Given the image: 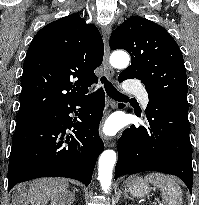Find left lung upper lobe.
Listing matches in <instances>:
<instances>
[{
	"label": "left lung upper lobe",
	"instance_id": "1",
	"mask_svg": "<svg viewBox=\"0 0 199 205\" xmlns=\"http://www.w3.org/2000/svg\"><path fill=\"white\" fill-rule=\"evenodd\" d=\"M109 44L112 50L125 49L131 55V66L120 73V78L140 79L149 99L189 109L183 56L165 28L134 16L112 32Z\"/></svg>",
	"mask_w": 199,
	"mask_h": 205
}]
</instances>
